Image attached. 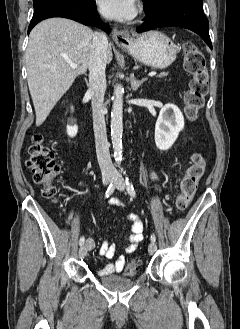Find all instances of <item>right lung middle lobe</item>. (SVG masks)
Here are the masks:
<instances>
[{
    "mask_svg": "<svg viewBox=\"0 0 240 329\" xmlns=\"http://www.w3.org/2000/svg\"><path fill=\"white\" fill-rule=\"evenodd\" d=\"M65 1H69V2L80 4V3H88L91 0H65Z\"/></svg>",
    "mask_w": 240,
    "mask_h": 329,
    "instance_id": "obj_1",
    "label": "right lung middle lobe"
}]
</instances>
